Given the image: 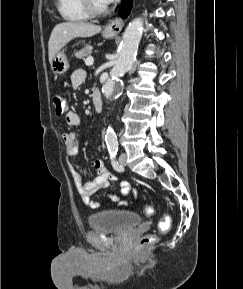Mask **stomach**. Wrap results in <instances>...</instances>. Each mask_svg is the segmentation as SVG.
<instances>
[{
    "label": "stomach",
    "mask_w": 243,
    "mask_h": 289,
    "mask_svg": "<svg viewBox=\"0 0 243 289\" xmlns=\"http://www.w3.org/2000/svg\"><path fill=\"white\" fill-rule=\"evenodd\" d=\"M103 36L108 39L114 37L113 34H108L106 32L103 33ZM50 66L54 74L61 75L69 69L70 65L66 54L63 51H59L50 63Z\"/></svg>",
    "instance_id": "1"
}]
</instances>
